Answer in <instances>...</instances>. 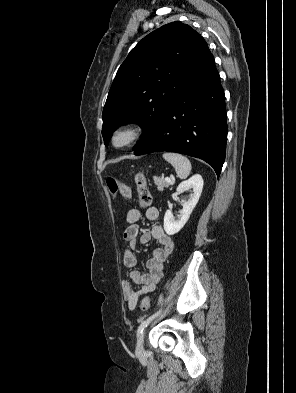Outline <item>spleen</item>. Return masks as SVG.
Masks as SVG:
<instances>
[{
	"label": "spleen",
	"mask_w": 296,
	"mask_h": 393,
	"mask_svg": "<svg viewBox=\"0 0 296 393\" xmlns=\"http://www.w3.org/2000/svg\"><path fill=\"white\" fill-rule=\"evenodd\" d=\"M163 158L174 167L180 179H185L190 175L192 166L187 157L177 153H164Z\"/></svg>",
	"instance_id": "spleen-1"
}]
</instances>
